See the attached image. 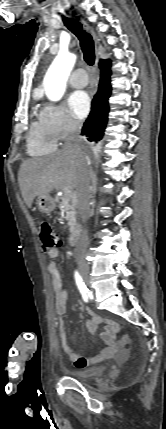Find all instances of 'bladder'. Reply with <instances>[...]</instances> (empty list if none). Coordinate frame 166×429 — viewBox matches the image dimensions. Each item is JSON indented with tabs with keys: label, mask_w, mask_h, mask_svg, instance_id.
I'll list each match as a JSON object with an SVG mask.
<instances>
[{
	"label": "bladder",
	"mask_w": 166,
	"mask_h": 429,
	"mask_svg": "<svg viewBox=\"0 0 166 429\" xmlns=\"http://www.w3.org/2000/svg\"><path fill=\"white\" fill-rule=\"evenodd\" d=\"M107 370L106 366H96L85 370H76L69 373V375L79 381H85L92 378L101 377Z\"/></svg>",
	"instance_id": "obj_1"
}]
</instances>
